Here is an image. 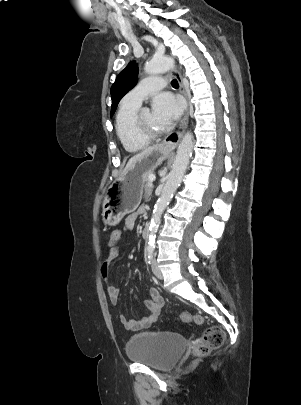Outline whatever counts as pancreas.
Wrapping results in <instances>:
<instances>
[{"instance_id": "cf45deb5", "label": "pancreas", "mask_w": 301, "mask_h": 405, "mask_svg": "<svg viewBox=\"0 0 301 405\" xmlns=\"http://www.w3.org/2000/svg\"><path fill=\"white\" fill-rule=\"evenodd\" d=\"M150 175H152V174L148 175V177L146 179V182H145V185H144V192H145L144 193V198H145V200H150L151 195H152L153 187H152L151 181L149 180Z\"/></svg>"}]
</instances>
